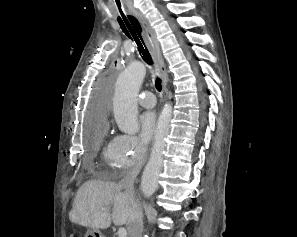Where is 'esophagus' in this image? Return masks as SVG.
Here are the masks:
<instances>
[{"label":"esophagus","mask_w":297,"mask_h":237,"mask_svg":"<svg viewBox=\"0 0 297 237\" xmlns=\"http://www.w3.org/2000/svg\"><path fill=\"white\" fill-rule=\"evenodd\" d=\"M136 18L138 19L142 27L143 35H144L147 47L161 73L162 81H163V91L165 92L167 89L168 74L166 71L164 60L161 55L159 43L157 41L155 32L151 28L148 20L142 14H139V13L136 14Z\"/></svg>","instance_id":"esophagus-1"}]
</instances>
